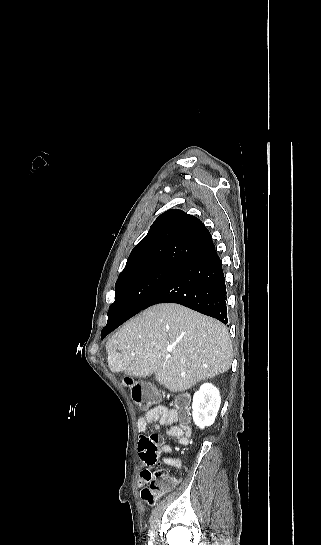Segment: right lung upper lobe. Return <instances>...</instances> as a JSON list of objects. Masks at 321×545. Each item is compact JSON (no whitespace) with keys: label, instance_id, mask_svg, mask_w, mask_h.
I'll return each mask as SVG.
<instances>
[{"label":"right lung upper lobe","instance_id":"1","mask_svg":"<svg viewBox=\"0 0 321 545\" xmlns=\"http://www.w3.org/2000/svg\"><path fill=\"white\" fill-rule=\"evenodd\" d=\"M211 242L208 229L198 218L182 210H168L134 247L122 273L152 265L180 267Z\"/></svg>","mask_w":321,"mask_h":545}]
</instances>
